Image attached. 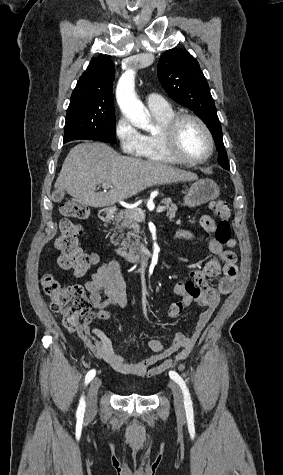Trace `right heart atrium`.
<instances>
[{"label":"right heart atrium","instance_id":"1","mask_svg":"<svg viewBox=\"0 0 283 475\" xmlns=\"http://www.w3.org/2000/svg\"><path fill=\"white\" fill-rule=\"evenodd\" d=\"M113 129L123 155H135L136 159L143 156L144 136L138 132L127 117L120 115L116 119Z\"/></svg>","mask_w":283,"mask_h":475}]
</instances>
